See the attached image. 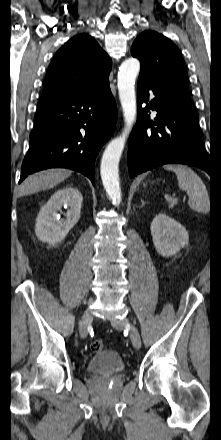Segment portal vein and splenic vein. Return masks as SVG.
Instances as JSON below:
<instances>
[{
    "label": "portal vein and splenic vein",
    "mask_w": 221,
    "mask_h": 440,
    "mask_svg": "<svg viewBox=\"0 0 221 440\" xmlns=\"http://www.w3.org/2000/svg\"><path fill=\"white\" fill-rule=\"evenodd\" d=\"M165 198H166V200L167 201H169V202H176L178 199L177 198H174L172 195H170V194H167V195H165Z\"/></svg>",
    "instance_id": "portal-vein-and-splenic-vein-1"
}]
</instances>
